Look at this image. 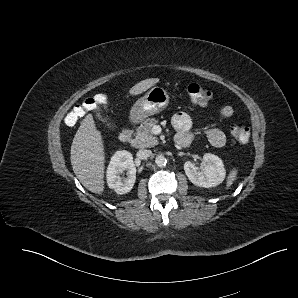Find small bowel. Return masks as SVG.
Segmentation results:
<instances>
[{
	"label": "small bowel",
	"mask_w": 298,
	"mask_h": 298,
	"mask_svg": "<svg viewBox=\"0 0 298 298\" xmlns=\"http://www.w3.org/2000/svg\"><path fill=\"white\" fill-rule=\"evenodd\" d=\"M219 114L222 118H230L234 114V109L230 105L221 107ZM172 125L178 132L186 133L192 127V121L185 112H177L172 117ZM207 139L216 148H221L226 144V136L220 129L213 128L207 132Z\"/></svg>",
	"instance_id": "small-bowel-1"
}]
</instances>
